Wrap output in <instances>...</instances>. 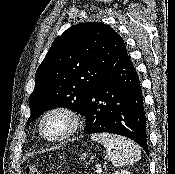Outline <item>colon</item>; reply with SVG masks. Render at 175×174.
Instances as JSON below:
<instances>
[{
    "instance_id": "obj_1",
    "label": "colon",
    "mask_w": 175,
    "mask_h": 174,
    "mask_svg": "<svg viewBox=\"0 0 175 174\" xmlns=\"http://www.w3.org/2000/svg\"><path fill=\"white\" fill-rule=\"evenodd\" d=\"M25 174H40V173L37 167L29 166L26 168Z\"/></svg>"
}]
</instances>
